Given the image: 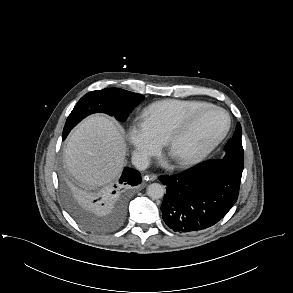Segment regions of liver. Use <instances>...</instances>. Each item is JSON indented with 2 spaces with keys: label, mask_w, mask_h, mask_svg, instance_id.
<instances>
[{
  "label": "liver",
  "mask_w": 293,
  "mask_h": 293,
  "mask_svg": "<svg viewBox=\"0 0 293 293\" xmlns=\"http://www.w3.org/2000/svg\"><path fill=\"white\" fill-rule=\"evenodd\" d=\"M126 154L122 129L108 117L92 115L69 137L64 160L78 182L94 188L111 182L121 173Z\"/></svg>",
  "instance_id": "obj_1"
}]
</instances>
